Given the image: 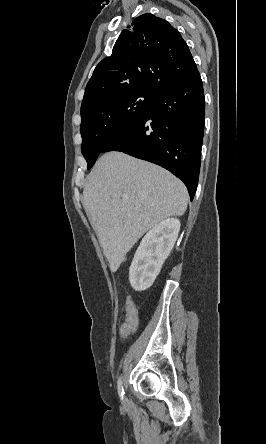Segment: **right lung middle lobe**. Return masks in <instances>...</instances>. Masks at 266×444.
Wrapping results in <instances>:
<instances>
[{
	"label": "right lung middle lobe",
	"mask_w": 266,
	"mask_h": 444,
	"mask_svg": "<svg viewBox=\"0 0 266 444\" xmlns=\"http://www.w3.org/2000/svg\"><path fill=\"white\" fill-rule=\"evenodd\" d=\"M154 97L155 94L148 91H121L103 97L81 111V150L87 169L94 165L110 140L149 112Z\"/></svg>",
	"instance_id": "obj_1"
}]
</instances>
